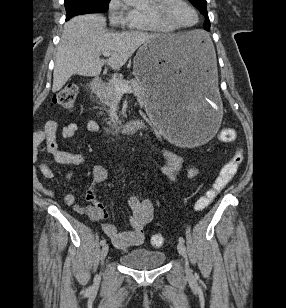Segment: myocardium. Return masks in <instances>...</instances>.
I'll return each mask as SVG.
<instances>
[{
	"mask_svg": "<svg viewBox=\"0 0 286 308\" xmlns=\"http://www.w3.org/2000/svg\"><path fill=\"white\" fill-rule=\"evenodd\" d=\"M186 4L196 15V21L191 25H180L176 23L169 15V7L173 0H155L152 6L148 9L149 14L159 22L167 24L175 29H190L195 27L199 22V13L193 4L188 0H180Z\"/></svg>",
	"mask_w": 286,
	"mask_h": 308,
	"instance_id": "1",
	"label": "myocardium"
}]
</instances>
